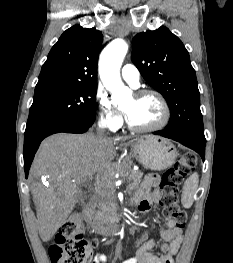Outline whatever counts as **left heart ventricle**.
Listing matches in <instances>:
<instances>
[{"mask_svg": "<svg viewBox=\"0 0 233 263\" xmlns=\"http://www.w3.org/2000/svg\"><path fill=\"white\" fill-rule=\"evenodd\" d=\"M122 110L128 116V121L137 127H147L158 123L163 116V110L158 100L152 96L136 98L132 96Z\"/></svg>", "mask_w": 233, "mask_h": 263, "instance_id": "b2bd125f", "label": "left heart ventricle"}]
</instances>
